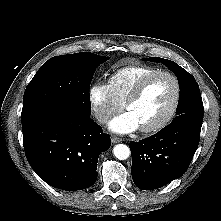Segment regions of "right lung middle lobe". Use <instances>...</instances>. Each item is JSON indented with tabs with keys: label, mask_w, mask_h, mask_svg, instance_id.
<instances>
[{
	"label": "right lung middle lobe",
	"mask_w": 221,
	"mask_h": 221,
	"mask_svg": "<svg viewBox=\"0 0 221 221\" xmlns=\"http://www.w3.org/2000/svg\"><path fill=\"white\" fill-rule=\"evenodd\" d=\"M106 59L89 52L46 61L26 87L22 124L50 108L64 107L91 114L89 87L95 69Z\"/></svg>",
	"instance_id": "dd1d6c3e"
}]
</instances>
